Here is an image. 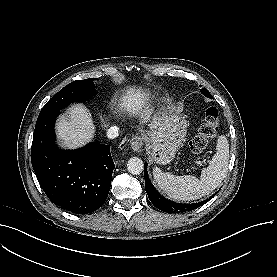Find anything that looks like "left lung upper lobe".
Returning a JSON list of instances; mask_svg holds the SVG:
<instances>
[{"mask_svg":"<svg viewBox=\"0 0 277 277\" xmlns=\"http://www.w3.org/2000/svg\"><path fill=\"white\" fill-rule=\"evenodd\" d=\"M201 93H203L208 98L213 99V97L211 96V94L209 93V91L206 88L201 89Z\"/></svg>","mask_w":277,"mask_h":277,"instance_id":"1","label":"left lung upper lobe"}]
</instances>
